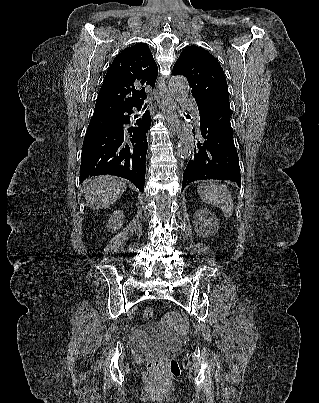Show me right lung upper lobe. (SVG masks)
Returning <instances> with one entry per match:
<instances>
[{
	"label": "right lung upper lobe",
	"instance_id": "cb5924a9",
	"mask_svg": "<svg viewBox=\"0 0 319 403\" xmlns=\"http://www.w3.org/2000/svg\"><path fill=\"white\" fill-rule=\"evenodd\" d=\"M157 65L149 47L138 43L119 53L108 68L96 100L97 114L141 105L146 94L138 85L155 86Z\"/></svg>",
	"mask_w": 319,
	"mask_h": 403
}]
</instances>
